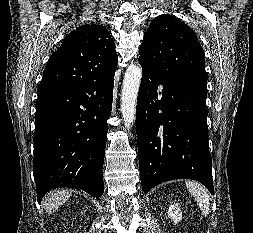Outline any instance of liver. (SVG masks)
<instances>
[{"instance_id": "liver-1", "label": "liver", "mask_w": 253, "mask_h": 233, "mask_svg": "<svg viewBox=\"0 0 253 233\" xmlns=\"http://www.w3.org/2000/svg\"><path fill=\"white\" fill-rule=\"evenodd\" d=\"M72 195V191L58 189L51 192L44 202V209L48 214L54 213Z\"/></svg>"}]
</instances>
